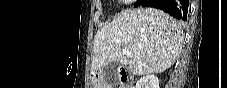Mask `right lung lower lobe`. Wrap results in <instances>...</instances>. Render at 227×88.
I'll return each mask as SVG.
<instances>
[{
	"label": "right lung lower lobe",
	"mask_w": 227,
	"mask_h": 88,
	"mask_svg": "<svg viewBox=\"0 0 227 88\" xmlns=\"http://www.w3.org/2000/svg\"><path fill=\"white\" fill-rule=\"evenodd\" d=\"M138 5L163 10L175 18L185 21L188 16L189 0H141Z\"/></svg>",
	"instance_id": "right-lung-lower-lobe-1"
}]
</instances>
